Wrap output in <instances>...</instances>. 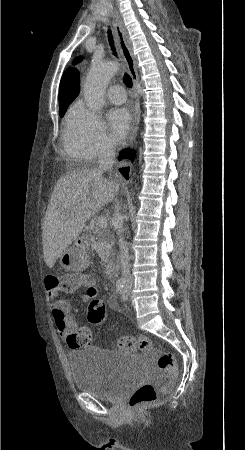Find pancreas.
I'll use <instances>...</instances> for the list:
<instances>
[{
  "label": "pancreas",
  "mask_w": 245,
  "mask_h": 450,
  "mask_svg": "<svg viewBox=\"0 0 245 450\" xmlns=\"http://www.w3.org/2000/svg\"><path fill=\"white\" fill-rule=\"evenodd\" d=\"M94 234L97 235L96 238L92 236V241L96 240L92 243V248L96 250L99 257L102 261L107 262L109 261V256L112 248V242L111 239L105 238L106 231L103 229H95L93 231Z\"/></svg>",
  "instance_id": "obj_1"
}]
</instances>
